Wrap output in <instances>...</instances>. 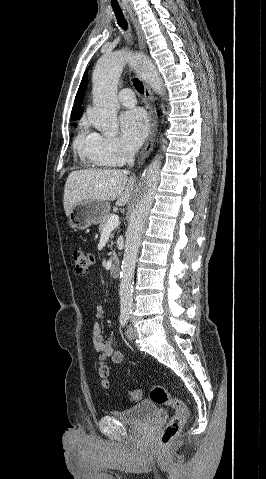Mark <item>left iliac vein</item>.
Here are the masks:
<instances>
[{
    "mask_svg": "<svg viewBox=\"0 0 266 479\" xmlns=\"http://www.w3.org/2000/svg\"><path fill=\"white\" fill-rule=\"evenodd\" d=\"M137 335V330L133 327V326H128L127 330H126V336L129 340H133L135 339Z\"/></svg>",
    "mask_w": 266,
    "mask_h": 479,
    "instance_id": "4c4485c4",
    "label": "left iliac vein"
}]
</instances>
